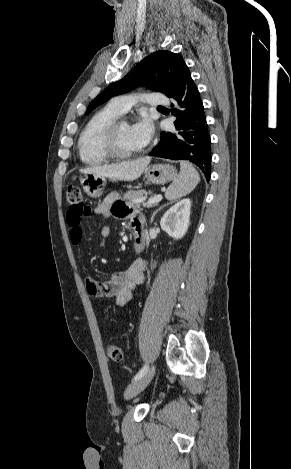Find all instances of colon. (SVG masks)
Masks as SVG:
<instances>
[{
    "label": "colon",
    "mask_w": 291,
    "mask_h": 469,
    "mask_svg": "<svg viewBox=\"0 0 291 469\" xmlns=\"http://www.w3.org/2000/svg\"><path fill=\"white\" fill-rule=\"evenodd\" d=\"M66 199L71 208L77 210L82 216L90 214V209L82 205V192L79 186L69 185L66 192ZM107 355L115 362H120L124 358L123 349L115 344L109 343L107 345Z\"/></svg>",
    "instance_id": "colon-1"
}]
</instances>
